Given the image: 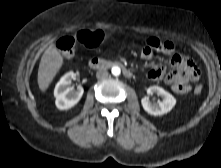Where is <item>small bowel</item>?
Listing matches in <instances>:
<instances>
[{"label":"small bowel","mask_w":221,"mask_h":168,"mask_svg":"<svg viewBox=\"0 0 221 168\" xmlns=\"http://www.w3.org/2000/svg\"><path fill=\"white\" fill-rule=\"evenodd\" d=\"M163 43L167 47L160 52L168 55L173 54L174 45L169 41ZM154 51V49L145 45L141 52V57L144 60H151ZM170 64L174 69L171 72L166 73L163 67L156 66L148 72V77L151 80H164L177 94L183 95L188 93L191 90L189 80H195L198 77L197 67L190 59L182 55H174L171 58Z\"/></svg>","instance_id":"c3829d8e"}]
</instances>
